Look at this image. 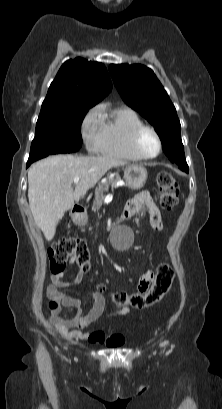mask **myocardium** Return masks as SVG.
<instances>
[{
	"instance_id": "myocardium-1",
	"label": "myocardium",
	"mask_w": 222,
	"mask_h": 409,
	"mask_svg": "<svg viewBox=\"0 0 222 409\" xmlns=\"http://www.w3.org/2000/svg\"><path fill=\"white\" fill-rule=\"evenodd\" d=\"M147 131L153 133V135L155 136V138H156V140H157V143H158V151H157L154 155H146V154L142 151V149H141V147H140V139H141L142 135H143L145 132H147ZM131 146H132L133 151H134L141 159H143V160H152V159L157 158V157L161 154L163 144H162V139H161V137H160L158 131H157L155 128H153V127H151V126H148V125H143V126L137 128V129L134 131V133L132 134V137H131Z\"/></svg>"
}]
</instances>
